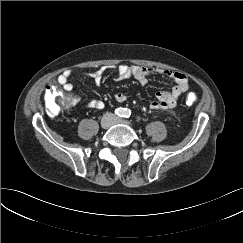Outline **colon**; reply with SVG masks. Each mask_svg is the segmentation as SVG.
<instances>
[{
	"mask_svg": "<svg viewBox=\"0 0 243 243\" xmlns=\"http://www.w3.org/2000/svg\"><path fill=\"white\" fill-rule=\"evenodd\" d=\"M45 100L48 111L51 115H56L60 111L71 106L72 98L65 94L57 84L48 87L45 92ZM197 101V96L190 93L186 97V103L193 105Z\"/></svg>",
	"mask_w": 243,
	"mask_h": 243,
	"instance_id": "obj_1",
	"label": "colon"
}]
</instances>
